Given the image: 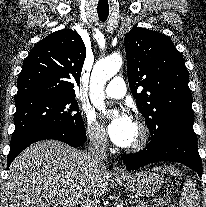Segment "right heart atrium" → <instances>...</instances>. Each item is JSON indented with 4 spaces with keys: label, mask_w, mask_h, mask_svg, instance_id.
Here are the masks:
<instances>
[{
    "label": "right heart atrium",
    "mask_w": 206,
    "mask_h": 207,
    "mask_svg": "<svg viewBox=\"0 0 206 207\" xmlns=\"http://www.w3.org/2000/svg\"><path fill=\"white\" fill-rule=\"evenodd\" d=\"M84 126L86 134L91 143L99 148H104L107 145V137L104 129L98 124L95 117L85 112L83 114Z\"/></svg>",
    "instance_id": "d8ad5b80"
}]
</instances>
